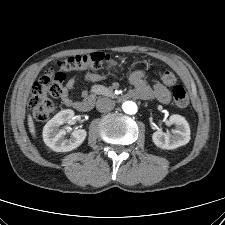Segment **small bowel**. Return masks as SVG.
I'll use <instances>...</instances> for the list:
<instances>
[{
    "instance_id": "1",
    "label": "small bowel",
    "mask_w": 225,
    "mask_h": 225,
    "mask_svg": "<svg viewBox=\"0 0 225 225\" xmlns=\"http://www.w3.org/2000/svg\"><path fill=\"white\" fill-rule=\"evenodd\" d=\"M80 76L73 74L62 87L61 100L66 106H74L78 100H75L71 95V91L79 81ZM83 79L86 82H96L103 79V76L95 72H86L83 74ZM130 83L134 89L130 93L131 96L140 99L156 98L161 103H168L170 101V91L167 85L155 82L150 85L142 71H134L129 77Z\"/></svg>"
}]
</instances>
